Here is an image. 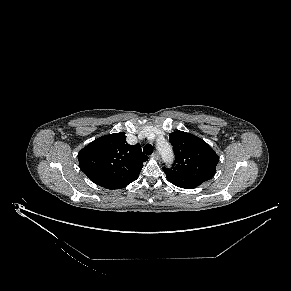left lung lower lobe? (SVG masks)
<instances>
[{"label": "left lung lower lobe", "instance_id": "obj_1", "mask_svg": "<svg viewBox=\"0 0 291 291\" xmlns=\"http://www.w3.org/2000/svg\"><path fill=\"white\" fill-rule=\"evenodd\" d=\"M181 188H185V189H193L195 187H181Z\"/></svg>", "mask_w": 291, "mask_h": 291}]
</instances>
